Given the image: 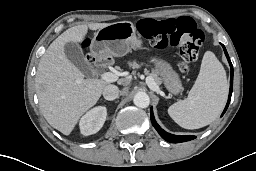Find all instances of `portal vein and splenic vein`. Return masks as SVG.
<instances>
[{
	"mask_svg": "<svg viewBox=\"0 0 256 171\" xmlns=\"http://www.w3.org/2000/svg\"><path fill=\"white\" fill-rule=\"evenodd\" d=\"M101 79L106 81V82L112 83V82H115V81L118 80V76L116 74L111 73V72H105V73L101 74ZM147 84L149 85V87L152 90H154V91L159 90V87L156 85V83L150 77L147 78Z\"/></svg>",
	"mask_w": 256,
	"mask_h": 171,
	"instance_id": "18ae733b",
	"label": "portal vein and splenic vein"
}]
</instances>
